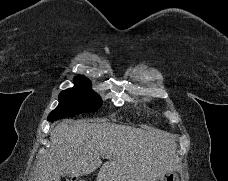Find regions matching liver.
<instances>
[{
    "label": "liver",
    "instance_id": "6515ba94",
    "mask_svg": "<svg viewBox=\"0 0 228 181\" xmlns=\"http://www.w3.org/2000/svg\"><path fill=\"white\" fill-rule=\"evenodd\" d=\"M31 181H60L90 175L101 167L100 181H161L178 169L177 145L171 133L112 125L107 119L63 121L49 137ZM106 155V163L100 159Z\"/></svg>",
    "mask_w": 228,
    "mask_h": 181
}]
</instances>
